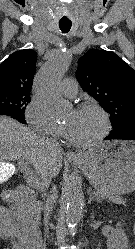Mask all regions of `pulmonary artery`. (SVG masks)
Masks as SVG:
<instances>
[{"label":"pulmonary artery","instance_id":"pulmonary-artery-1","mask_svg":"<svg viewBox=\"0 0 135 249\" xmlns=\"http://www.w3.org/2000/svg\"><path fill=\"white\" fill-rule=\"evenodd\" d=\"M60 91L65 97H75L78 92V85L76 80L72 77L65 78L60 85Z\"/></svg>","mask_w":135,"mask_h":249}]
</instances>
